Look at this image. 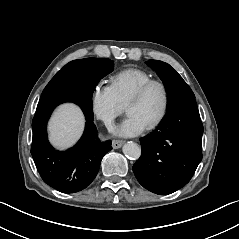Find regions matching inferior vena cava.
<instances>
[{
    "label": "inferior vena cava",
    "mask_w": 239,
    "mask_h": 239,
    "mask_svg": "<svg viewBox=\"0 0 239 239\" xmlns=\"http://www.w3.org/2000/svg\"><path fill=\"white\" fill-rule=\"evenodd\" d=\"M105 126L109 132H112L115 129V123L113 120H107L105 121Z\"/></svg>",
    "instance_id": "1"
}]
</instances>
